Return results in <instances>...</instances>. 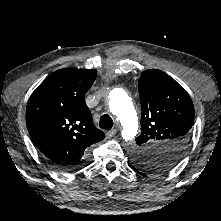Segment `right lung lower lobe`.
Listing matches in <instances>:
<instances>
[{
	"label": "right lung lower lobe",
	"mask_w": 221,
	"mask_h": 221,
	"mask_svg": "<svg viewBox=\"0 0 221 221\" xmlns=\"http://www.w3.org/2000/svg\"><path fill=\"white\" fill-rule=\"evenodd\" d=\"M89 161V157H86L76 163H51L49 162L53 167H55L58 170L61 171H73V170H77L81 167H83L84 165H86Z\"/></svg>",
	"instance_id": "98d812e1"
}]
</instances>
